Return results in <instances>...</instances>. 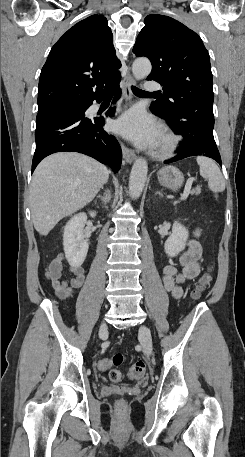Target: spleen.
Here are the masks:
<instances>
[{
	"instance_id": "spleen-1",
	"label": "spleen",
	"mask_w": 245,
	"mask_h": 457,
	"mask_svg": "<svg viewBox=\"0 0 245 457\" xmlns=\"http://www.w3.org/2000/svg\"><path fill=\"white\" fill-rule=\"evenodd\" d=\"M200 168V174L203 178H208V186L213 192H222L225 188V180L222 172L214 162L213 158L208 156H197L196 158Z\"/></svg>"
}]
</instances>
